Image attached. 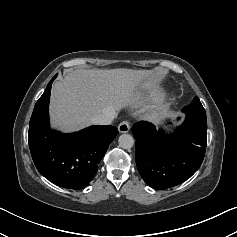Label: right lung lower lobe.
Masks as SVG:
<instances>
[{
  "mask_svg": "<svg viewBox=\"0 0 237 237\" xmlns=\"http://www.w3.org/2000/svg\"><path fill=\"white\" fill-rule=\"evenodd\" d=\"M52 80L33 110L28 132L30 152L38 171L54 184L81 189L93 179L117 128L91 126L79 132L62 134L49 127L48 106Z\"/></svg>",
  "mask_w": 237,
  "mask_h": 237,
  "instance_id": "right-lung-lower-lobe-1",
  "label": "right lung lower lobe"
}]
</instances>
